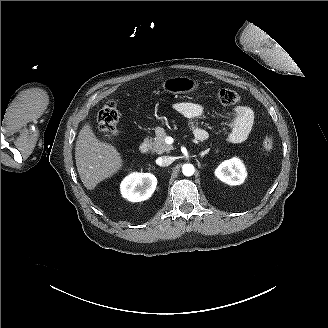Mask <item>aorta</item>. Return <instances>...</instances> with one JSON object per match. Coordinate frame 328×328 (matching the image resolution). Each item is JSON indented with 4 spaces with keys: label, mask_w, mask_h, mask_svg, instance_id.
Listing matches in <instances>:
<instances>
[{
    "label": "aorta",
    "mask_w": 328,
    "mask_h": 328,
    "mask_svg": "<svg viewBox=\"0 0 328 328\" xmlns=\"http://www.w3.org/2000/svg\"><path fill=\"white\" fill-rule=\"evenodd\" d=\"M195 168L192 164H184L182 166V172L185 176H192L194 174Z\"/></svg>",
    "instance_id": "1"
}]
</instances>
